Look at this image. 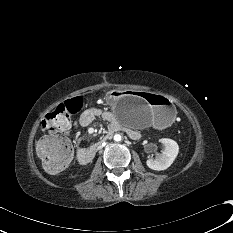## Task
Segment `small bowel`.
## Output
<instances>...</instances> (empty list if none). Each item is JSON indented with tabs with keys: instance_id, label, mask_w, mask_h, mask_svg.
<instances>
[{
	"instance_id": "c3829d8e",
	"label": "small bowel",
	"mask_w": 233,
	"mask_h": 233,
	"mask_svg": "<svg viewBox=\"0 0 233 233\" xmlns=\"http://www.w3.org/2000/svg\"><path fill=\"white\" fill-rule=\"evenodd\" d=\"M96 118H101L108 122L110 126H116L117 122L114 118L113 114L105 109L99 108V107H90L85 109L77 119V121L71 123L69 121L68 127L66 129H61L60 131L63 133H69L73 129H76L78 127H86L91 122H93ZM131 135L136 134V131L130 130Z\"/></svg>"
}]
</instances>
